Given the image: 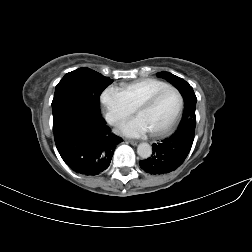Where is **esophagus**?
<instances>
[{
  "label": "esophagus",
  "mask_w": 252,
  "mask_h": 252,
  "mask_svg": "<svg viewBox=\"0 0 252 252\" xmlns=\"http://www.w3.org/2000/svg\"><path fill=\"white\" fill-rule=\"evenodd\" d=\"M127 142L133 146H136L138 144V141H135V140H128Z\"/></svg>",
  "instance_id": "1"
}]
</instances>
